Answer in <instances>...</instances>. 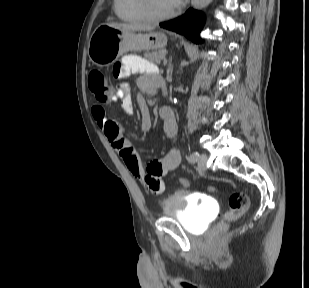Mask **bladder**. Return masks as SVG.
<instances>
[{
    "mask_svg": "<svg viewBox=\"0 0 309 288\" xmlns=\"http://www.w3.org/2000/svg\"><path fill=\"white\" fill-rule=\"evenodd\" d=\"M216 211L212 199L202 195H192L186 191H175L162 201V213L176 218L187 230L195 233L204 231Z\"/></svg>",
    "mask_w": 309,
    "mask_h": 288,
    "instance_id": "obj_1",
    "label": "bladder"
}]
</instances>
